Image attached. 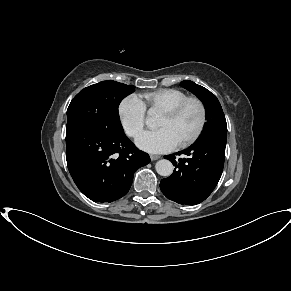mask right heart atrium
I'll return each instance as SVG.
<instances>
[{
  "label": "right heart atrium",
  "mask_w": 291,
  "mask_h": 291,
  "mask_svg": "<svg viewBox=\"0 0 291 291\" xmlns=\"http://www.w3.org/2000/svg\"><path fill=\"white\" fill-rule=\"evenodd\" d=\"M118 118L124 132L129 137H137L143 130L146 120V107L134 94L124 97L118 105Z\"/></svg>",
  "instance_id": "1"
}]
</instances>
